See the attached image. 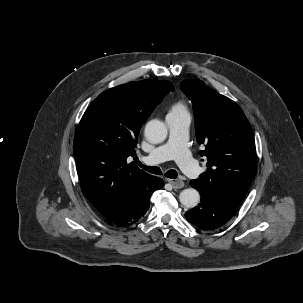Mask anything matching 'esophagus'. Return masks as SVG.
Instances as JSON below:
<instances>
[{
    "mask_svg": "<svg viewBox=\"0 0 303 303\" xmlns=\"http://www.w3.org/2000/svg\"><path fill=\"white\" fill-rule=\"evenodd\" d=\"M174 189H180L184 187V182L181 179H168L167 180Z\"/></svg>",
    "mask_w": 303,
    "mask_h": 303,
    "instance_id": "34e87169",
    "label": "esophagus"
}]
</instances>
